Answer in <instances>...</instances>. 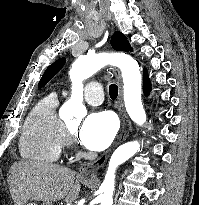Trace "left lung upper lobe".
<instances>
[{"mask_svg":"<svg viewBox=\"0 0 199 205\" xmlns=\"http://www.w3.org/2000/svg\"><path fill=\"white\" fill-rule=\"evenodd\" d=\"M111 45L113 49L118 51H128V48L130 46L125 35L118 31L113 34L111 38ZM65 61V58H61L55 61L52 65H50L44 72L41 80L39 81L38 88L43 87L64 66Z\"/></svg>","mask_w":199,"mask_h":205,"instance_id":"obj_1","label":"left lung upper lobe"}]
</instances>
